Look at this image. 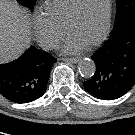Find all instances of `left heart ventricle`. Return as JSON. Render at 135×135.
Returning a JSON list of instances; mask_svg holds the SVG:
<instances>
[{"label": "left heart ventricle", "instance_id": "obj_1", "mask_svg": "<svg viewBox=\"0 0 135 135\" xmlns=\"http://www.w3.org/2000/svg\"><path fill=\"white\" fill-rule=\"evenodd\" d=\"M108 0H85L80 15L71 23L68 35L88 44L103 31Z\"/></svg>", "mask_w": 135, "mask_h": 135}]
</instances>
